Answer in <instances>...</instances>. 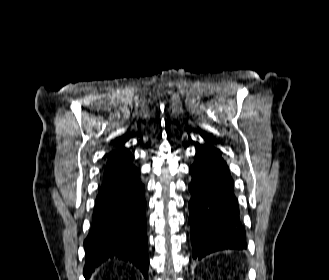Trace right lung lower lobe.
Instances as JSON below:
<instances>
[{
  "mask_svg": "<svg viewBox=\"0 0 329 280\" xmlns=\"http://www.w3.org/2000/svg\"><path fill=\"white\" fill-rule=\"evenodd\" d=\"M144 191L140 171L131 162L105 168L92 228L84 241L86 280L108 259L133 263L148 280Z\"/></svg>",
  "mask_w": 329,
  "mask_h": 280,
  "instance_id": "right-lung-lower-lobe-1",
  "label": "right lung lower lobe"
}]
</instances>
